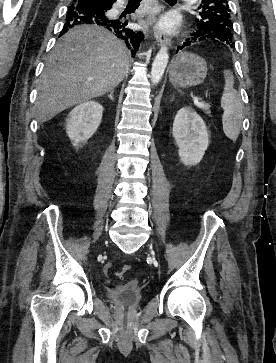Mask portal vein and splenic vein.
Here are the masks:
<instances>
[{
	"mask_svg": "<svg viewBox=\"0 0 276 363\" xmlns=\"http://www.w3.org/2000/svg\"><path fill=\"white\" fill-rule=\"evenodd\" d=\"M194 104H195L196 106L200 107V108H202V107H204V106H205L204 102H200V101H198V99H195V100H194Z\"/></svg>",
	"mask_w": 276,
	"mask_h": 363,
	"instance_id": "obj_1",
	"label": "portal vein and splenic vein"
}]
</instances>
